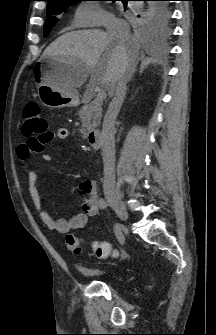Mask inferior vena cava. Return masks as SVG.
I'll use <instances>...</instances> for the list:
<instances>
[{"label": "inferior vena cava", "instance_id": "602c4592", "mask_svg": "<svg viewBox=\"0 0 216 335\" xmlns=\"http://www.w3.org/2000/svg\"><path fill=\"white\" fill-rule=\"evenodd\" d=\"M105 27L108 36L118 44L122 45L130 40V27L125 20L111 15L106 19ZM132 73V62L123 58L116 76L114 97L109 104L102 127L101 147L104 163V190L113 191L115 188V121L124 101L127 82Z\"/></svg>", "mask_w": 216, "mask_h": 335}]
</instances>
